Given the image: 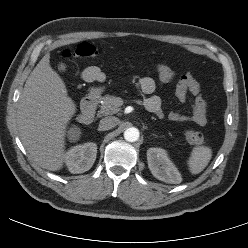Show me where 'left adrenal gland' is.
I'll list each match as a JSON object with an SVG mask.
<instances>
[{
    "mask_svg": "<svg viewBox=\"0 0 248 248\" xmlns=\"http://www.w3.org/2000/svg\"><path fill=\"white\" fill-rule=\"evenodd\" d=\"M153 136L157 137V135L153 134Z\"/></svg>",
    "mask_w": 248,
    "mask_h": 248,
    "instance_id": "left-adrenal-gland-1",
    "label": "left adrenal gland"
}]
</instances>
